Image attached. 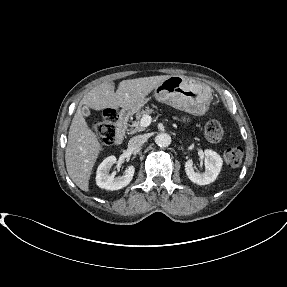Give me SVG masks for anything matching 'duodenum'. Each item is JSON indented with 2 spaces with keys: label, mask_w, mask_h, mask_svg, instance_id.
<instances>
[{
  "label": "duodenum",
  "mask_w": 287,
  "mask_h": 287,
  "mask_svg": "<svg viewBox=\"0 0 287 287\" xmlns=\"http://www.w3.org/2000/svg\"><path fill=\"white\" fill-rule=\"evenodd\" d=\"M128 122H129L128 113L127 112L121 113L115 134V142L118 145L121 144L126 137Z\"/></svg>",
  "instance_id": "duodenum-1"
}]
</instances>
